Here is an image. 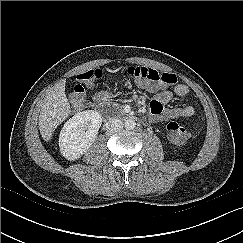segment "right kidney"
Segmentation results:
<instances>
[{"label":"right kidney","instance_id":"obj_1","mask_svg":"<svg viewBox=\"0 0 243 243\" xmlns=\"http://www.w3.org/2000/svg\"><path fill=\"white\" fill-rule=\"evenodd\" d=\"M101 123L102 117L97 111L86 110L75 114L60 132L61 154L70 161L79 159L97 138Z\"/></svg>","mask_w":243,"mask_h":243}]
</instances>
